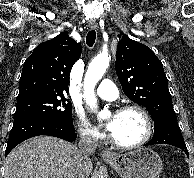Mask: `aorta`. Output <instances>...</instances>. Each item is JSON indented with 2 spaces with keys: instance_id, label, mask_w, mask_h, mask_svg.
I'll return each mask as SVG.
<instances>
[{
  "instance_id": "obj_1",
  "label": "aorta",
  "mask_w": 194,
  "mask_h": 178,
  "mask_svg": "<svg viewBox=\"0 0 194 178\" xmlns=\"http://www.w3.org/2000/svg\"><path fill=\"white\" fill-rule=\"evenodd\" d=\"M110 62V57L107 53L103 52L97 55L89 64L84 78V98L87 105L92 109L97 106V99L94 93V88L97 82L104 75ZM99 117L103 116V112H99Z\"/></svg>"
}]
</instances>
